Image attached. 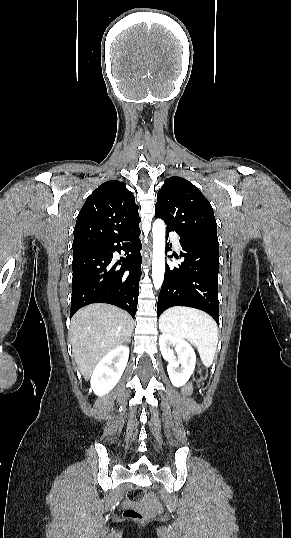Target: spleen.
Wrapping results in <instances>:
<instances>
[{"instance_id":"1","label":"spleen","mask_w":291,"mask_h":538,"mask_svg":"<svg viewBox=\"0 0 291 538\" xmlns=\"http://www.w3.org/2000/svg\"><path fill=\"white\" fill-rule=\"evenodd\" d=\"M159 328L189 340L197 347L202 363L211 366L218 344V327L211 316L194 308L175 306L160 316Z\"/></svg>"}]
</instances>
